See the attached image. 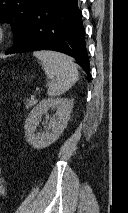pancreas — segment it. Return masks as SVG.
Returning a JSON list of instances; mask_svg holds the SVG:
<instances>
[{"label": "pancreas", "instance_id": "cf45deb5", "mask_svg": "<svg viewBox=\"0 0 128 213\" xmlns=\"http://www.w3.org/2000/svg\"><path fill=\"white\" fill-rule=\"evenodd\" d=\"M37 102L38 100L32 96L31 98L25 100V107L29 109L33 107L35 104H37Z\"/></svg>", "mask_w": 128, "mask_h": 213}]
</instances>
